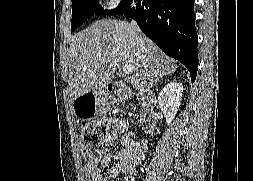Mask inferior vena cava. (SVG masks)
Here are the masks:
<instances>
[{
  "label": "inferior vena cava",
  "instance_id": "obj_1",
  "mask_svg": "<svg viewBox=\"0 0 253 181\" xmlns=\"http://www.w3.org/2000/svg\"><path fill=\"white\" fill-rule=\"evenodd\" d=\"M131 24L135 27V29L137 30V32H138L139 34H141V30L139 29L137 23H136L134 20L131 21Z\"/></svg>",
  "mask_w": 253,
  "mask_h": 181
}]
</instances>
